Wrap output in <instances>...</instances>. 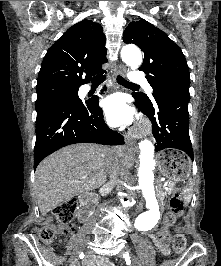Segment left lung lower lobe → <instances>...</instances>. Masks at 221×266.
<instances>
[{
  "mask_svg": "<svg viewBox=\"0 0 221 266\" xmlns=\"http://www.w3.org/2000/svg\"><path fill=\"white\" fill-rule=\"evenodd\" d=\"M135 97V106L144 113L153 124L156 138V152L163 149L182 150L193 161V149L189 137L188 101L160 96L153 106L146 105Z\"/></svg>",
  "mask_w": 221,
  "mask_h": 266,
  "instance_id": "0a47b994",
  "label": "left lung lower lobe"
}]
</instances>
